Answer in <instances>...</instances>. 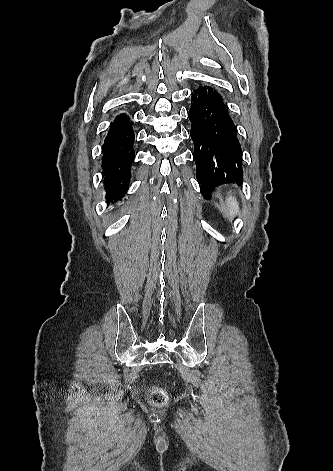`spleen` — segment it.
I'll return each mask as SVG.
<instances>
[{"instance_id": "obj_1", "label": "spleen", "mask_w": 333, "mask_h": 471, "mask_svg": "<svg viewBox=\"0 0 333 471\" xmlns=\"http://www.w3.org/2000/svg\"><path fill=\"white\" fill-rule=\"evenodd\" d=\"M226 205L230 216L233 217L239 212V203L237 202L235 197H228L226 199Z\"/></svg>"}]
</instances>
